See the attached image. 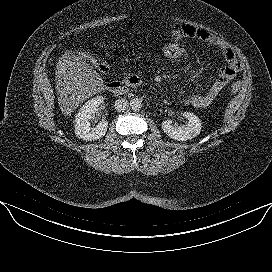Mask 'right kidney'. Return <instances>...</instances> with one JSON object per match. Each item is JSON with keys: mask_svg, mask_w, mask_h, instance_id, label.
<instances>
[{"mask_svg": "<svg viewBox=\"0 0 272 272\" xmlns=\"http://www.w3.org/2000/svg\"><path fill=\"white\" fill-rule=\"evenodd\" d=\"M103 96H96L88 100L75 116V134L79 139L85 141H95L102 138L107 129V121H100L95 127H91V121L99 111V107L103 105Z\"/></svg>", "mask_w": 272, "mask_h": 272, "instance_id": "1", "label": "right kidney"}]
</instances>
